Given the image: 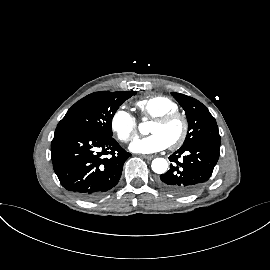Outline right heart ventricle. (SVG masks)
I'll return each instance as SVG.
<instances>
[{"label": "right heart ventricle", "mask_w": 270, "mask_h": 270, "mask_svg": "<svg viewBox=\"0 0 270 270\" xmlns=\"http://www.w3.org/2000/svg\"><path fill=\"white\" fill-rule=\"evenodd\" d=\"M144 118L155 119L156 117L178 111V105L169 97L156 95L140 99L136 102Z\"/></svg>", "instance_id": "right-heart-ventricle-1"}]
</instances>
